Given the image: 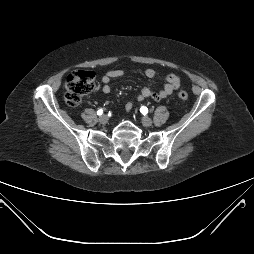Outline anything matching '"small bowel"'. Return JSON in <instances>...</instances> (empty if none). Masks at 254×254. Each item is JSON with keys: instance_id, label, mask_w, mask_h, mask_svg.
<instances>
[{"instance_id": "1", "label": "small bowel", "mask_w": 254, "mask_h": 254, "mask_svg": "<svg viewBox=\"0 0 254 254\" xmlns=\"http://www.w3.org/2000/svg\"><path fill=\"white\" fill-rule=\"evenodd\" d=\"M125 74V72L121 69H113L108 71L106 74H104L101 78V83H102V91L105 94L110 93L111 91V86L110 82L112 79L115 78H120ZM145 76L147 78H154L156 76V71L152 68H148L144 72ZM181 85V79L179 76L175 74H169L166 76V83L163 86L162 89L159 91H152L148 87H143L140 91V93L135 97L134 100H131L126 103L125 105V110L129 112L132 107L134 101H144L145 99H153L154 101H161L168 96H170L174 91H176Z\"/></svg>"}]
</instances>
